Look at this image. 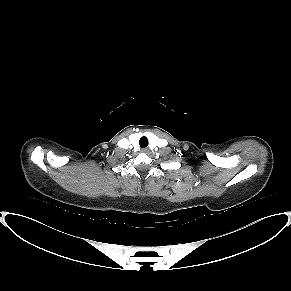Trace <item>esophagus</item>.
I'll return each mask as SVG.
<instances>
[{"mask_svg":"<svg viewBox=\"0 0 291 291\" xmlns=\"http://www.w3.org/2000/svg\"><path fill=\"white\" fill-rule=\"evenodd\" d=\"M141 151H142L143 153H148V152H149V149H148V148H143Z\"/></svg>","mask_w":291,"mask_h":291,"instance_id":"1","label":"esophagus"}]
</instances>
